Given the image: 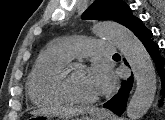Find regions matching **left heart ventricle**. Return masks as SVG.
Masks as SVG:
<instances>
[{
  "label": "left heart ventricle",
  "instance_id": "b2bd125f",
  "mask_svg": "<svg viewBox=\"0 0 165 120\" xmlns=\"http://www.w3.org/2000/svg\"><path fill=\"white\" fill-rule=\"evenodd\" d=\"M71 91L81 98H95L99 93L93 84L87 69L74 70L69 81Z\"/></svg>",
  "mask_w": 165,
  "mask_h": 120
}]
</instances>
